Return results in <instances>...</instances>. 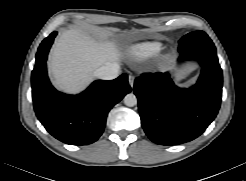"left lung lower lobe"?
Instances as JSON below:
<instances>
[{"mask_svg":"<svg viewBox=\"0 0 246 181\" xmlns=\"http://www.w3.org/2000/svg\"><path fill=\"white\" fill-rule=\"evenodd\" d=\"M178 51L180 60L196 59L202 66L195 86L178 88L169 73L143 74L134 83L144 131L160 145H178L200 136L221 103L223 76L213 42Z\"/></svg>","mask_w":246,"mask_h":181,"instance_id":"0a47b994","label":"left lung lower lobe"}]
</instances>
